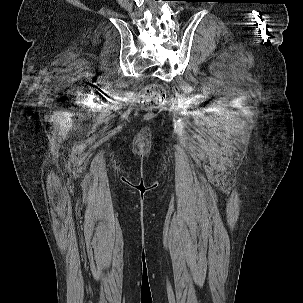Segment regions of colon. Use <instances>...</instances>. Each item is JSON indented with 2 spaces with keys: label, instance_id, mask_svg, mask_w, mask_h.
<instances>
[{
  "label": "colon",
  "instance_id": "obj_1",
  "mask_svg": "<svg viewBox=\"0 0 303 303\" xmlns=\"http://www.w3.org/2000/svg\"><path fill=\"white\" fill-rule=\"evenodd\" d=\"M166 101V90L160 84H152L142 89L140 102L147 107L156 108Z\"/></svg>",
  "mask_w": 303,
  "mask_h": 303
}]
</instances>
